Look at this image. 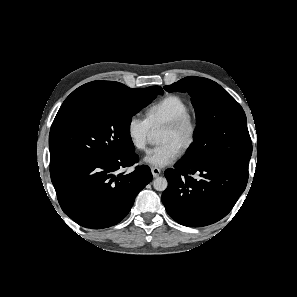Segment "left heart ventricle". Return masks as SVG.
<instances>
[{
    "label": "left heart ventricle",
    "mask_w": 297,
    "mask_h": 297,
    "mask_svg": "<svg viewBox=\"0 0 297 297\" xmlns=\"http://www.w3.org/2000/svg\"><path fill=\"white\" fill-rule=\"evenodd\" d=\"M186 137H187V131L185 129H182L179 131L161 130L159 134L158 142L160 144L171 143L180 149Z\"/></svg>",
    "instance_id": "b2bd125f"
}]
</instances>
